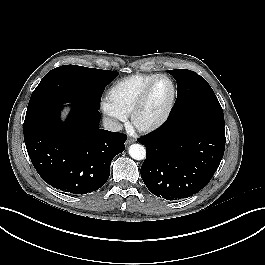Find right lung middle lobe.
<instances>
[{"label":"right lung middle lobe","instance_id":"right-lung-middle-lobe-1","mask_svg":"<svg viewBox=\"0 0 265 265\" xmlns=\"http://www.w3.org/2000/svg\"><path fill=\"white\" fill-rule=\"evenodd\" d=\"M118 72L64 65L43 77L30 97L24 126L47 116L65 103L99 109L104 87Z\"/></svg>","mask_w":265,"mask_h":265}]
</instances>
